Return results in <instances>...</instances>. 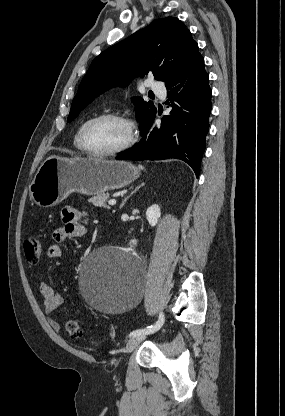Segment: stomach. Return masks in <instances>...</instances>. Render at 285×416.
Instances as JSON below:
<instances>
[{"label": "stomach", "instance_id": "obj_1", "mask_svg": "<svg viewBox=\"0 0 285 416\" xmlns=\"http://www.w3.org/2000/svg\"><path fill=\"white\" fill-rule=\"evenodd\" d=\"M140 176L129 162L103 158H60L49 156L38 168L29 186L30 196L42 208L57 206L72 192L100 196L125 188Z\"/></svg>", "mask_w": 285, "mask_h": 416}]
</instances>
